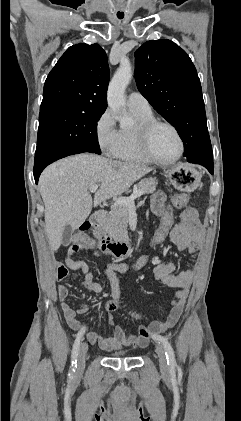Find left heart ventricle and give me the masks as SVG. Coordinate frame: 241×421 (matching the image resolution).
I'll return each mask as SVG.
<instances>
[{"mask_svg": "<svg viewBox=\"0 0 241 421\" xmlns=\"http://www.w3.org/2000/svg\"><path fill=\"white\" fill-rule=\"evenodd\" d=\"M150 144L153 153L163 160L171 159L179 152L177 136L166 126H159L153 131Z\"/></svg>", "mask_w": 241, "mask_h": 421, "instance_id": "left-heart-ventricle-1", "label": "left heart ventricle"}]
</instances>
